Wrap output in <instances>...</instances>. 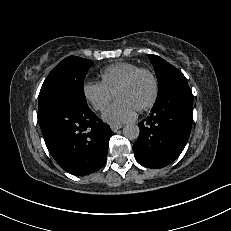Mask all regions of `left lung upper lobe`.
<instances>
[{
    "mask_svg": "<svg viewBox=\"0 0 231 231\" xmlns=\"http://www.w3.org/2000/svg\"><path fill=\"white\" fill-rule=\"evenodd\" d=\"M148 56L154 66L159 83L157 98L176 85L187 84L185 76L177 68L159 56L153 54H149Z\"/></svg>",
    "mask_w": 231,
    "mask_h": 231,
    "instance_id": "left-lung-upper-lobe-1",
    "label": "left lung upper lobe"
}]
</instances>
